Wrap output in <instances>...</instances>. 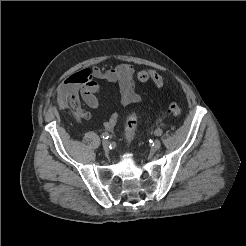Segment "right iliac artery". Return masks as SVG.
Returning a JSON list of instances; mask_svg holds the SVG:
<instances>
[{
	"mask_svg": "<svg viewBox=\"0 0 246 246\" xmlns=\"http://www.w3.org/2000/svg\"><path fill=\"white\" fill-rule=\"evenodd\" d=\"M102 137H103L104 139H108V138H109V134H108L107 132H104V133L102 134Z\"/></svg>",
	"mask_w": 246,
	"mask_h": 246,
	"instance_id": "82829eb1",
	"label": "right iliac artery"
}]
</instances>
